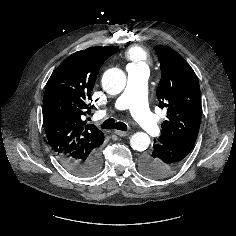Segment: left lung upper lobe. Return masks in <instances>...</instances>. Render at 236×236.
<instances>
[{
    "mask_svg": "<svg viewBox=\"0 0 236 236\" xmlns=\"http://www.w3.org/2000/svg\"><path fill=\"white\" fill-rule=\"evenodd\" d=\"M162 77L157 88L159 107L167 110L158 143L195 142L201 121L200 87L190 65L173 49L159 45Z\"/></svg>",
    "mask_w": 236,
    "mask_h": 236,
    "instance_id": "obj_1",
    "label": "left lung upper lobe"
}]
</instances>
